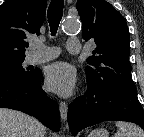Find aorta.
Segmentation results:
<instances>
[{
    "label": "aorta",
    "mask_w": 144,
    "mask_h": 137,
    "mask_svg": "<svg viewBox=\"0 0 144 137\" xmlns=\"http://www.w3.org/2000/svg\"><path fill=\"white\" fill-rule=\"evenodd\" d=\"M61 27L65 32L74 33L80 30L81 24L76 19H65Z\"/></svg>",
    "instance_id": "aorta-1"
}]
</instances>
